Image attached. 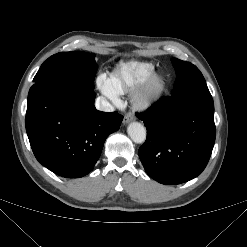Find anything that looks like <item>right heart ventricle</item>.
Instances as JSON below:
<instances>
[{
    "label": "right heart ventricle",
    "instance_id": "obj_1",
    "mask_svg": "<svg viewBox=\"0 0 247 247\" xmlns=\"http://www.w3.org/2000/svg\"><path fill=\"white\" fill-rule=\"evenodd\" d=\"M155 73V66L148 62L129 61L120 63L108 77L111 89L125 94L142 87Z\"/></svg>",
    "mask_w": 247,
    "mask_h": 247
}]
</instances>
